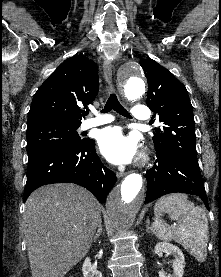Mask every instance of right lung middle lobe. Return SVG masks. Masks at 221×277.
<instances>
[{
	"mask_svg": "<svg viewBox=\"0 0 221 277\" xmlns=\"http://www.w3.org/2000/svg\"><path fill=\"white\" fill-rule=\"evenodd\" d=\"M80 126L48 122L27 126V153L29 161L35 157L65 150L84 142L77 129Z\"/></svg>",
	"mask_w": 221,
	"mask_h": 277,
	"instance_id": "dd1d6c3e",
	"label": "right lung middle lobe"
}]
</instances>
